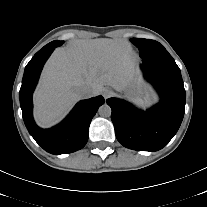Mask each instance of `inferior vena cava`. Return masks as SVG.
I'll list each match as a JSON object with an SVG mask.
<instances>
[{
  "label": "inferior vena cava",
  "instance_id": "602c4592",
  "mask_svg": "<svg viewBox=\"0 0 207 207\" xmlns=\"http://www.w3.org/2000/svg\"><path fill=\"white\" fill-rule=\"evenodd\" d=\"M78 94L82 97V98H89L92 96L93 92L92 89L88 86H80L78 88Z\"/></svg>",
  "mask_w": 207,
  "mask_h": 207
}]
</instances>
